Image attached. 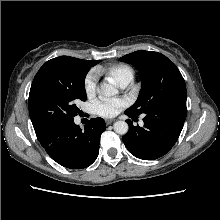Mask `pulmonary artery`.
<instances>
[{
  "instance_id": "obj_1",
  "label": "pulmonary artery",
  "mask_w": 220,
  "mask_h": 220,
  "mask_svg": "<svg viewBox=\"0 0 220 220\" xmlns=\"http://www.w3.org/2000/svg\"><path fill=\"white\" fill-rule=\"evenodd\" d=\"M129 83H130V82H128V81H124V82H122V83L119 85V88L124 89V88H126V87L128 86Z\"/></svg>"
}]
</instances>
